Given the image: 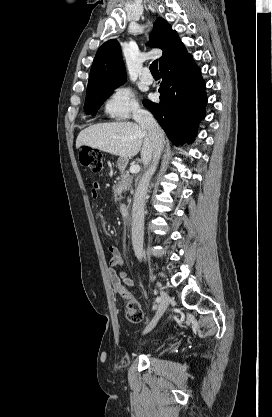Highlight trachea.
<instances>
[{"mask_svg":"<svg viewBox=\"0 0 272 417\" xmlns=\"http://www.w3.org/2000/svg\"><path fill=\"white\" fill-rule=\"evenodd\" d=\"M150 71H151L152 75H158L159 74L158 60H155V61L152 62V64L150 65Z\"/></svg>","mask_w":272,"mask_h":417,"instance_id":"trachea-1","label":"trachea"}]
</instances>
